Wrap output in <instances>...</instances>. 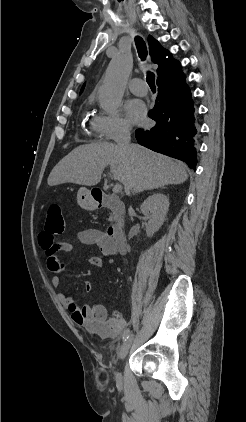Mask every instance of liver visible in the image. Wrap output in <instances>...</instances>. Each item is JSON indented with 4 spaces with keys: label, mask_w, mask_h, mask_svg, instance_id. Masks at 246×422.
<instances>
[{
    "label": "liver",
    "mask_w": 246,
    "mask_h": 422,
    "mask_svg": "<svg viewBox=\"0 0 246 422\" xmlns=\"http://www.w3.org/2000/svg\"><path fill=\"white\" fill-rule=\"evenodd\" d=\"M131 153L110 142L81 145L65 156L51 171L48 185L74 183L95 186L109 165L112 179L120 181L126 195L169 184H181L188 178L181 162L131 144Z\"/></svg>",
    "instance_id": "liver-1"
}]
</instances>
